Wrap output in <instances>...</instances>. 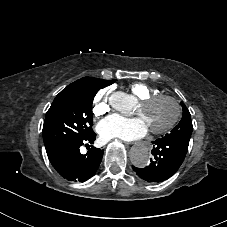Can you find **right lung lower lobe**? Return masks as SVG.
Masks as SVG:
<instances>
[{"instance_id": "98d812e1", "label": "right lung lower lobe", "mask_w": 227, "mask_h": 227, "mask_svg": "<svg viewBox=\"0 0 227 227\" xmlns=\"http://www.w3.org/2000/svg\"><path fill=\"white\" fill-rule=\"evenodd\" d=\"M96 134L89 132L83 137L66 140L47 149L49 161L55 170L71 181L84 182L96 174L102 161L103 150L91 146L86 154L80 153V147L93 144Z\"/></svg>"}]
</instances>
